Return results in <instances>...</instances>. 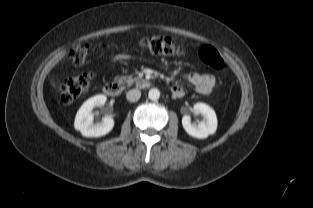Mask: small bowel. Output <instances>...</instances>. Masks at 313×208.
I'll return each mask as SVG.
<instances>
[{
    "instance_id": "c3829d8e",
    "label": "small bowel",
    "mask_w": 313,
    "mask_h": 208,
    "mask_svg": "<svg viewBox=\"0 0 313 208\" xmlns=\"http://www.w3.org/2000/svg\"><path fill=\"white\" fill-rule=\"evenodd\" d=\"M128 55L119 54L113 59V64L128 60ZM183 80L191 84L195 91L202 95L211 93L215 85V79L212 75L189 72L183 76ZM171 93L175 98H182L186 91L180 84H175L171 87Z\"/></svg>"
}]
</instances>
